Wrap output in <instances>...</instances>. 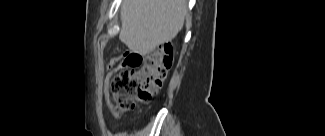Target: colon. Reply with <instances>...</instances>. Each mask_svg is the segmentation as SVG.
I'll return each instance as SVG.
<instances>
[{"mask_svg":"<svg viewBox=\"0 0 325 136\" xmlns=\"http://www.w3.org/2000/svg\"><path fill=\"white\" fill-rule=\"evenodd\" d=\"M172 48L168 44L154 48L143 65L114 96L119 112L134 109L136 103H147L163 85L172 65Z\"/></svg>","mask_w":325,"mask_h":136,"instance_id":"5ec220e1","label":"colon"}]
</instances>
